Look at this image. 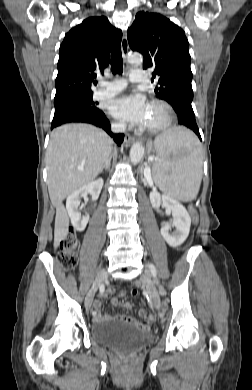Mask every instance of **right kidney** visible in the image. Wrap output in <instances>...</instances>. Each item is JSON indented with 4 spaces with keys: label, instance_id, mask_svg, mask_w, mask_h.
<instances>
[{
    "label": "right kidney",
    "instance_id": "right-kidney-1",
    "mask_svg": "<svg viewBox=\"0 0 252 390\" xmlns=\"http://www.w3.org/2000/svg\"><path fill=\"white\" fill-rule=\"evenodd\" d=\"M103 183V179L99 178L81 187L67 197L66 209L71 219V223L77 231H84L89 221V215L81 216V213L79 212L80 199L86 197L87 194L90 193L92 200L96 201L100 195Z\"/></svg>",
    "mask_w": 252,
    "mask_h": 390
}]
</instances>
